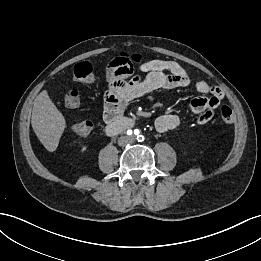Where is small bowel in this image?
Wrapping results in <instances>:
<instances>
[{
  "instance_id": "obj_1",
  "label": "small bowel",
  "mask_w": 261,
  "mask_h": 261,
  "mask_svg": "<svg viewBox=\"0 0 261 261\" xmlns=\"http://www.w3.org/2000/svg\"><path fill=\"white\" fill-rule=\"evenodd\" d=\"M143 75L129 79L132 70L124 68L115 60L106 69L107 90L105 93L104 119L111 123L121 118L125 106L150 92L194 86L199 96L192 99L191 110L198 114L196 123L209 122L214 111L224 98L222 89L204 80L193 82L190 73L176 61L155 59L139 67ZM180 119L174 114H164L155 120L159 132L177 128Z\"/></svg>"
}]
</instances>
